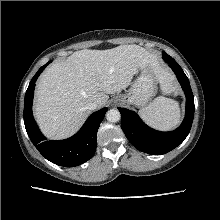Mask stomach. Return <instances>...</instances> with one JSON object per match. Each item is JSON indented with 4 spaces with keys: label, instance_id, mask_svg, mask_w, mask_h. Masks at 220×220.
Here are the masks:
<instances>
[{
    "label": "stomach",
    "instance_id": "obj_1",
    "mask_svg": "<svg viewBox=\"0 0 220 220\" xmlns=\"http://www.w3.org/2000/svg\"><path fill=\"white\" fill-rule=\"evenodd\" d=\"M157 92V80L152 66L141 69L140 75L117 98L123 104L134 105L138 108L145 107Z\"/></svg>",
    "mask_w": 220,
    "mask_h": 220
}]
</instances>
